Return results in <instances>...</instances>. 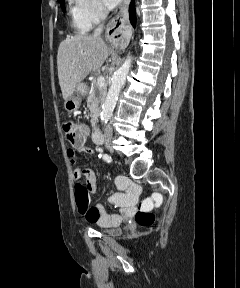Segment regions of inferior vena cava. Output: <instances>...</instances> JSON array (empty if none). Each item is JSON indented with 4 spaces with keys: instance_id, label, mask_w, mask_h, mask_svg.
<instances>
[{
    "instance_id": "1",
    "label": "inferior vena cava",
    "mask_w": 240,
    "mask_h": 288,
    "mask_svg": "<svg viewBox=\"0 0 240 288\" xmlns=\"http://www.w3.org/2000/svg\"><path fill=\"white\" fill-rule=\"evenodd\" d=\"M108 15V11L106 8L102 7L100 9V18L101 20H105L106 17ZM103 31V24L99 25L95 30H94V33H93V37L94 38H99L100 39V36H101V33ZM104 137L106 140H111L112 139V127L110 125H108L105 129V133H104Z\"/></svg>"
}]
</instances>
